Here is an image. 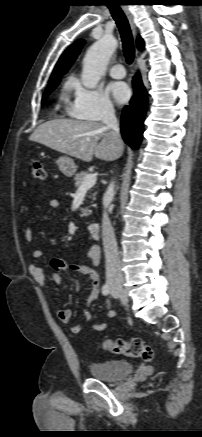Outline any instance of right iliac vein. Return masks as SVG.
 <instances>
[{
    "mask_svg": "<svg viewBox=\"0 0 202 437\" xmlns=\"http://www.w3.org/2000/svg\"><path fill=\"white\" fill-rule=\"evenodd\" d=\"M112 288H113V291L116 293V295L121 298L122 302L124 304H127L128 297H127V294L124 291V289L121 286H113Z\"/></svg>",
    "mask_w": 202,
    "mask_h": 437,
    "instance_id": "1",
    "label": "right iliac vein"
}]
</instances>
